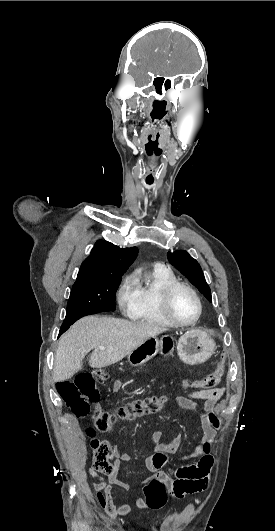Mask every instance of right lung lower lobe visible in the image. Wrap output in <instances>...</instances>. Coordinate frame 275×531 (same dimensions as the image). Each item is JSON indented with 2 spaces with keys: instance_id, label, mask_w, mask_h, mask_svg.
Returning <instances> with one entry per match:
<instances>
[{
  "instance_id": "right-lung-lower-lobe-1",
  "label": "right lung lower lobe",
  "mask_w": 275,
  "mask_h": 531,
  "mask_svg": "<svg viewBox=\"0 0 275 531\" xmlns=\"http://www.w3.org/2000/svg\"><path fill=\"white\" fill-rule=\"evenodd\" d=\"M67 329H68V328L61 329V330H60V334H62L63 332H65ZM60 334H59V335H60Z\"/></svg>"
}]
</instances>
